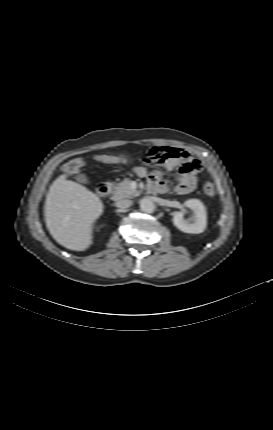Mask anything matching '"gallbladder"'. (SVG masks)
Segmentation results:
<instances>
[{"mask_svg": "<svg viewBox=\"0 0 273 430\" xmlns=\"http://www.w3.org/2000/svg\"><path fill=\"white\" fill-rule=\"evenodd\" d=\"M76 180L80 183H88V178L84 174H79L76 176Z\"/></svg>", "mask_w": 273, "mask_h": 430, "instance_id": "gallbladder-1", "label": "gallbladder"}]
</instances>
